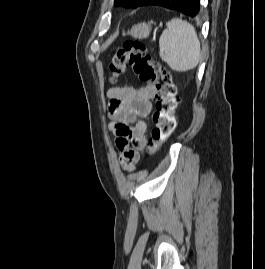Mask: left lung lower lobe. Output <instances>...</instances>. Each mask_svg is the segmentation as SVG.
<instances>
[{
    "label": "left lung lower lobe",
    "instance_id": "left-lung-lower-lobe-1",
    "mask_svg": "<svg viewBox=\"0 0 265 269\" xmlns=\"http://www.w3.org/2000/svg\"><path fill=\"white\" fill-rule=\"evenodd\" d=\"M200 0H144L139 6L157 5L196 17L200 12Z\"/></svg>",
    "mask_w": 265,
    "mask_h": 269
}]
</instances>
